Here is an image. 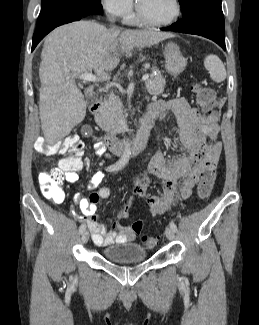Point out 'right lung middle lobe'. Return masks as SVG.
<instances>
[{"mask_svg":"<svg viewBox=\"0 0 259 325\" xmlns=\"http://www.w3.org/2000/svg\"><path fill=\"white\" fill-rule=\"evenodd\" d=\"M101 0H41L38 22L49 14L62 9H77L83 13L99 15L102 12Z\"/></svg>","mask_w":259,"mask_h":325,"instance_id":"obj_1","label":"right lung middle lobe"}]
</instances>
